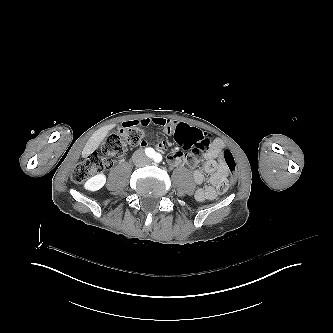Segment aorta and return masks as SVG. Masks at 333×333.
Listing matches in <instances>:
<instances>
[{"instance_id": "762f6f07", "label": "aorta", "mask_w": 333, "mask_h": 333, "mask_svg": "<svg viewBox=\"0 0 333 333\" xmlns=\"http://www.w3.org/2000/svg\"><path fill=\"white\" fill-rule=\"evenodd\" d=\"M153 160L156 162V163H159L162 161V155L160 153H156L154 156H153Z\"/></svg>"}]
</instances>
